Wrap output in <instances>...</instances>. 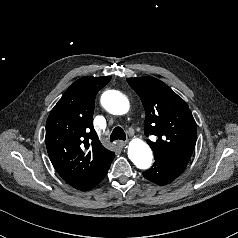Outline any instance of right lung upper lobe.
Returning <instances> with one entry per match:
<instances>
[{
    "label": "right lung upper lobe",
    "mask_w": 238,
    "mask_h": 238,
    "mask_svg": "<svg viewBox=\"0 0 238 238\" xmlns=\"http://www.w3.org/2000/svg\"><path fill=\"white\" fill-rule=\"evenodd\" d=\"M110 79H78L48 116L45 142L49 158L58 174L73 187L89 180L115 157L103 147L92 123L96 94Z\"/></svg>",
    "instance_id": "cb5924a9"
}]
</instances>
